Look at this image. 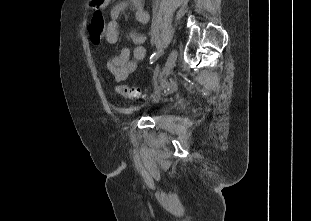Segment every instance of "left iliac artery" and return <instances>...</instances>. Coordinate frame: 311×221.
<instances>
[{
    "label": "left iliac artery",
    "instance_id": "left-iliac-artery-1",
    "mask_svg": "<svg viewBox=\"0 0 311 221\" xmlns=\"http://www.w3.org/2000/svg\"><path fill=\"white\" fill-rule=\"evenodd\" d=\"M160 56L159 52H155L150 57V64H152Z\"/></svg>",
    "mask_w": 311,
    "mask_h": 221
}]
</instances>
